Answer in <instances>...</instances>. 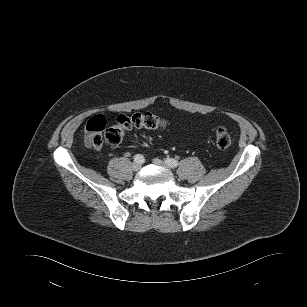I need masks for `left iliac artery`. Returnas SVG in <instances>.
Wrapping results in <instances>:
<instances>
[{"instance_id":"left-iliac-artery-1","label":"left iliac artery","mask_w":307,"mask_h":307,"mask_svg":"<svg viewBox=\"0 0 307 307\" xmlns=\"http://www.w3.org/2000/svg\"><path fill=\"white\" fill-rule=\"evenodd\" d=\"M165 163L170 167H177L179 165L178 161L172 158L165 159Z\"/></svg>"}]
</instances>
